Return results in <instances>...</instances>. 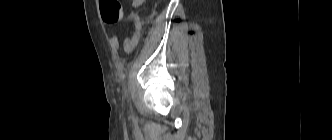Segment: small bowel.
Instances as JSON below:
<instances>
[{
    "label": "small bowel",
    "mask_w": 332,
    "mask_h": 140,
    "mask_svg": "<svg viewBox=\"0 0 332 140\" xmlns=\"http://www.w3.org/2000/svg\"><path fill=\"white\" fill-rule=\"evenodd\" d=\"M144 2H145V0H131V5L134 8H138V7L142 6ZM139 30H140L139 26L136 25L132 34L124 38L123 48L127 54L132 53L134 51V49L136 48V46L138 45L139 38H140ZM119 42H120L119 38L116 35L112 36V38L110 39V45L113 49H118Z\"/></svg>",
    "instance_id": "small-bowel-1"
}]
</instances>
